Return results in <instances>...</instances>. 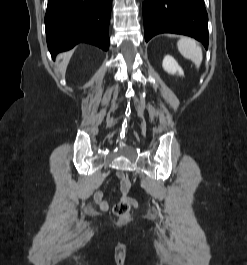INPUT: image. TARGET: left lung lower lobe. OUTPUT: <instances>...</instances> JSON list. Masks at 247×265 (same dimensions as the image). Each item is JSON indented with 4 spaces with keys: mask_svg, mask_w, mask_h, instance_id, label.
<instances>
[{
    "mask_svg": "<svg viewBox=\"0 0 247 265\" xmlns=\"http://www.w3.org/2000/svg\"><path fill=\"white\" fill-rule=\"evenodd\" d=\"M146 42L160 33L183 34L208 48L204 0H145L142 6Z\"/></svg>",
    "mask_w": 247,
    "mask_h": 265,
    "instance_id": "1",
    "label": "left lung lower lobe"
}]
</instances>
